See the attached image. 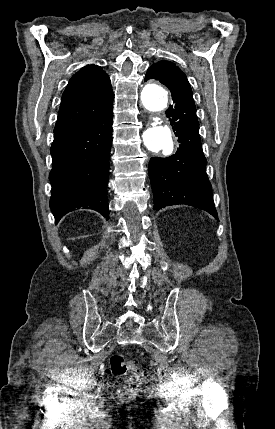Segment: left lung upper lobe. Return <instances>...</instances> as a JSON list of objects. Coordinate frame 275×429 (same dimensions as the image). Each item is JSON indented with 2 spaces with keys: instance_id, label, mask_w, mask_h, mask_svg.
<instances>
[{
  "instance_id": "1",
  "label": "left lung upper lobe",
  "mask_w": 275,
  "mask_h": 429,
  "mask_svg": "<svg viewBox=\"0 0 275 429\" xmlns=\"http://www.w3.org/2000/svg\"><path fill=\"white\" fill-rule=\"evenodd\" d=\"M149 69H153L157 72L170 73L186 78V75L176 65L169 61H159L153 64Z\"/></svg>"
}]
</instances>
